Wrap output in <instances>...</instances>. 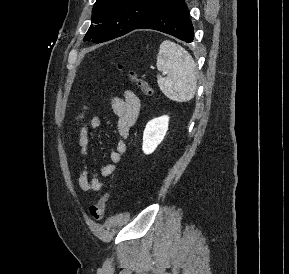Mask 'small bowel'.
Returning <instances> with one entry per match:
<instances>
[{"instance_id":"1","label":"small bowel","mask_w":289,"mask_h":274,"mask_svg":"<svg viewBox=\"0 0 289 274\" xmlns=\"http://www.w3.org/2000/svg\"><path fill=\"white\" fill-rule=\"evenodd\" d=\"M109 102L118 119V141L116 149L110 154L111 163L103 165L100 168V174L103 177L112 176L118 171V166L127 150L126 139L128 138L130 129L135 124L141 109V103L138 96L130 90L125 91L122 97L111 96ZM87 112L88 106L84 104L75 117V123L79 125L78 143L82 162V171L78 178V183L83 191L98 192L103 188L104 182L90 173L88 157L90 143L89 135L100 127L101 120L98 116H91L86 119Z\"/></svg>"}]
</instances>
